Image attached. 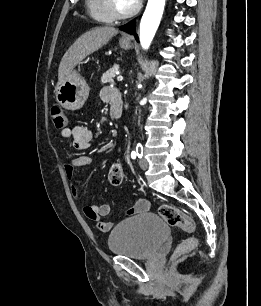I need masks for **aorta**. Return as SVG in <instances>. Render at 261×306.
<instances>
[{
    "mask_svg": "<svg viewBox=\"0 0 261 306\" xmlns=\"http://www.w3.org/2000/svg\"><path fill=\"white\" fill-rule=\"evenodd\" d=\"M165 6V0H148L145 12L140 22V44L148 49L160 24Z\"/></svg>",
    "mask_w": 261,
    "mask_h": 306,
    "instance_id": "1",
    "label": "aorta"
}]
</instances>
